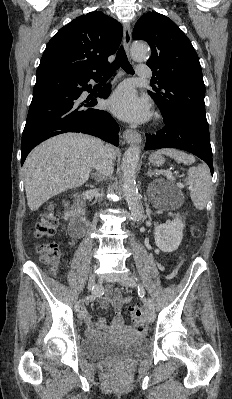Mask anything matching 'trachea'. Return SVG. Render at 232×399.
I'll return each mask as SVG.
<instances>
[{
    "instance_id": "trachea-1",
    "label": "trachea",
    "mask_w": 232,
    "mask_h": 399,
    "mask_svg": "<svg viewBox=\"0 0 232 399\" xmlns=\"http://www.w3.org/2000/svg\"><path fill=\"white\" fill-rule=\"evenodd\" d=\"M119 67H122L123 70H125V72H127L129 74H134L132 65H130L123 47L119 48L116 58H115L114 62L111 64V72L107 73L105 75V77H111L112 72L117 70V68H119Z\"/></svg>"
}]
</instances>
